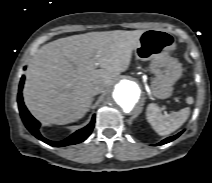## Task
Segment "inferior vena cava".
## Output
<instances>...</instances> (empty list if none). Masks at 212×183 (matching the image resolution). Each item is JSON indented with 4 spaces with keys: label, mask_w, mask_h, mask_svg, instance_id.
Listing matches in <instances>:
<instances>
[{
    "label": "inferior vena cava",
    "mask_w": 212,
    "mask_h": 183,
    "mask_svg": "<svg viewBox=\"0 0 212 183\" xmlns=\"http://www.w3.org/2000/svg\"><path fill=\"white\" fill-rule=\"evenodd\" d=\"M103 88H104V85H103V84H101V85H96V86L94 87V89H93V94H94V95L99 94V93L103 90Z\"/></svg>",
    "instance_id": "obj_1"
}]
</instances>
